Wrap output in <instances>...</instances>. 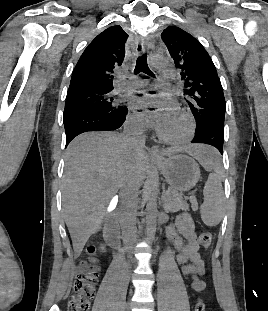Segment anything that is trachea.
Here are the masks:
<instances>
[{
    "label": "trachea",
    "instance_id": "1",
    "mask_svg": "<svg viewBox=\"0 0 268 311\" xmlns=\"http://www.w3.org/2000/svg\"><path fill=\"white\" fill-rule=\"evenodd\" d=\"M140 72H143V73L148 74L149 76L155 77L148 67L146 54H143L137 58L134 73L138 74Z\"/></svg>",
    "mask_w": 268,
    "mask_h": 311
}]
</instances>
